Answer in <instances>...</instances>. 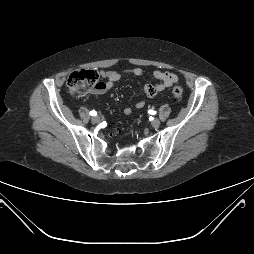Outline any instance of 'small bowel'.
I'll use <instances>...</instances> for the list:
<instances>
[{"mask_svg":"<svg viewBox=\"0 0 254 254\" xmlns=\"http://www.w3.org/2000/svg\"><path fill=\"white\" fill-rule=\"evenodd\" d=\"M130 74L133 76H141L143 74V70L140 67H134L131 69H126L122 71L116 70H108V71H100L99 75L104 80L100 82L98 87L92 89V93L94 94H103L114 87V85L125 75ZM153 77L160 81L158 84H145L143 87L144 94L153 98L159 93L167 90L171 86H173L178 81V77L176 74L166 71L156 70L153 72ZM145 105V102L139 100L136 102L135 106L137 108H142ZM132 112L130 107L124 109V113L126 115H130Z\"/></svg>","mask_w":254,"mask_h":254,"instance_id":"1","label":"small bowel"}]
</instances>
